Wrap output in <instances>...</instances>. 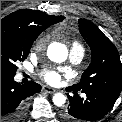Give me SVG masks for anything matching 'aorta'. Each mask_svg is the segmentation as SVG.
I'll return each instance as SVG.
<instances>
[{
  "label": "aorta",
  "instance_id": "obj_1",
  "mask_svg": "<svg viewBox=\"0 0 122 122\" xmlns=\"http://www.w3.org/2000/svg\"><path fill=\"white\" fill-rule=\"evenodd\" d=\"M47 56L53 62H63L68 56L67 47L62 43L53 42L48 46ZM52 100L54 105L61 107L65 104L66 97L62 93H56Z\"/></svg>",
  "mask_w": 122,
  "mask_h": 122
}]
</instances>
